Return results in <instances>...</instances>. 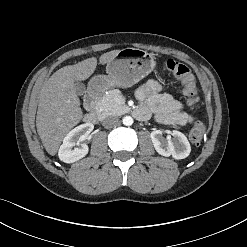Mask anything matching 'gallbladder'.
<instances>
[{"label": "gallbladder", "instance_id": "bac80fb5", "mask_svg": "<svg viewBox=\"0 0 247 247\" xmlns=\"http://www.w3.org/2000/svg\"><path fill=\"white\" fill-rule=\"evenodd\" d=\"M75 91L77 95H83L86 91L85 85L80 81H75Z\"/></svg>", "mask_w": 247, "mask_h": 247}]
</instances>
